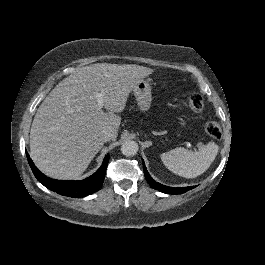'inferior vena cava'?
Here are the masks:
<instances>
[{
  "mask_svg": "<svg viewBox=\"0 0 265 265\" xmlns=\"http://www.w3.org/2000/svg\"><path fill=\"white\" fill-rule=\"evenodd\" d=\"M114 134L112 131L105 130L103 131V139L104 141H109L113 138Z\"/></svg>",
  "mask_w": 265,
  "mask_h": 265,
  "instance_id": "602c4592",
  "label": "inferior vena cava"
}]
</instances>
